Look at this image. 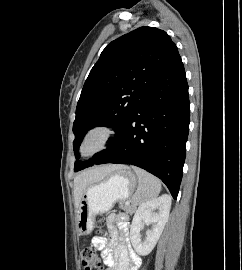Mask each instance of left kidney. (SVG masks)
I'll return each instance as SVG.
<instances>
[{
	"instance_id": "5707ae66",
	"label": "left kidney",
	"mask_w": 242,
	"mask_h": 270,
	"mask_svg": "<svg viewBox=\"0 0 242 270\" xmlns=\"http://www.w3.org/2000/svg\"><path fill=\"white\" fill-rule=\"evenodd\" d=\"M170 208L171 198L165 194L141 204L136 210L130 228V239L134 250L139 255L146 256L155 247L168 220ZM156 209L158 212H154ZM145 224H151L152 228L146 231L145 240H142L140 232Z\"/></svg>"
}]
</instances>
